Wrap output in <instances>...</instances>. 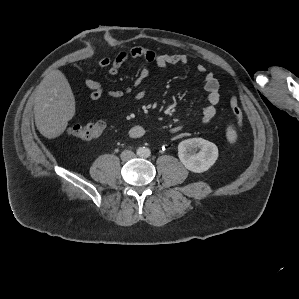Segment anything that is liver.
Masks as SVG:
<instances>
[{
    "mask_svg": "<svg viewBox=\"0 0 299 299\" xmlns=\"http://www.w3.org/2000/svg\"><path fill=\"white\" fill-rule=\"evenodd\" d=\"M75 115V98L60 70L50 71L35 91L34 117L39 132L48 139L60 136Z\"/></svg>",
    "mask_w": 299,
    "mask_h": 299,
    "instance_id": "1",
    "label": "liver"
}]
</instances>
